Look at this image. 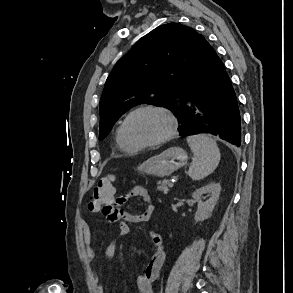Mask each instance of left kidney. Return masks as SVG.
<instances>
[{"mask_svg": "<svg viewBox=\"0 0 293 293\" xmlns=\"http://www.w3.org/2000/svg\"><path fill=\"white\" fill-rule=\"evenodd\" d=\"M221 185L219 183H209L206 186L196 189L192 197L197 201L198 208L195 213V222L204 221L212 215V211L219 199ZM209 194L210 197L206 201H202L203 195Z\"/></svg>", "mask_w": 293, "mask_h": 293, "instance_id": "5707ae66", "label": "left kidney"}]
</instances>
